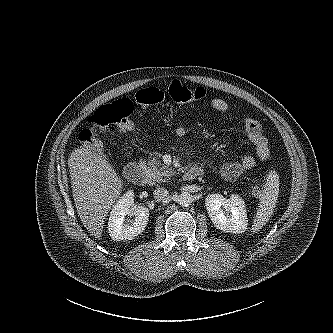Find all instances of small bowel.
Returning a JSON list of instances; mask_svg holds the SVG:
<instances>
[{
  "instance_id": "small-bowel-1",
  "label": "small bowel",
  "mask_w": 333,
  "mask_h": 333,
  "mask_svg": "<svg viewBox=\"0 0 333 333\" xmlns=\"http://www.w3.org/2000/svg\"><path fill=\"white\" fill-rule=\"evenodd\" d=\"M210 106L220 113H230L231 107L227 101L222 98H213L210 100ZM245 133L254 145L256 155H243L237 161H227L220 166L222 176L227 180H236L245 172L253 169L258 162L266 161L270 156L269 142L264 134L261 124L251 117H241ZM175 133L178 137H183L187 133L184 125H179Z\"/></svg>"
}]
</instances>
